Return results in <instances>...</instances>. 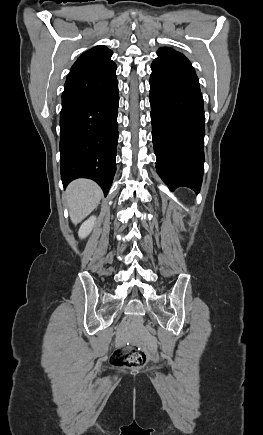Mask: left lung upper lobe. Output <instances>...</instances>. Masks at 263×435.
Returning a JSON list of instances; mask_svg holds the SVG:
<instances>
[{"instance_id":"5c2ea615","label":"left lung upper lobe","mask_w":263,"mask_h":435,"mask_svg":"<svg viewBox=\"0 0 263 435\" xmlns=\"http://www.w3.org/2000/svg\"><path fill=\"white\" fill-rule=\"evenodd\" d=\"M157 55L158 57L156 59H159L170 66H175L195 73L189 60L183 54L172 48L162 47L158 50Z\"/></svg>"}]
</instances>
